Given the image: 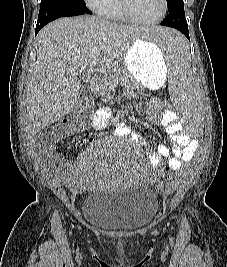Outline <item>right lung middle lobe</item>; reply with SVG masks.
Returning <instances> with one entry per match:
<instances>
[{
  "label": "right lung middle lobe",
  "instance_id": "dd1d6c3e",
  "mask_svg": "<svg viewBox=\"0 0 227 267\" xmlns=\"http://www.w3.org/2000/svg\"><path fill=\"white\" fill-rule=\"evenodd\" d=\"M84 0H41L40 8H85Z\"/></svg>",
  "mask_w": 227,
  "mask_h": 267
}]
</instances>
